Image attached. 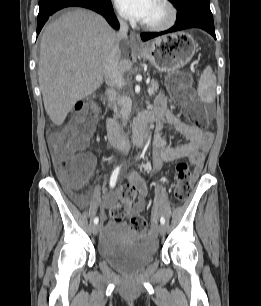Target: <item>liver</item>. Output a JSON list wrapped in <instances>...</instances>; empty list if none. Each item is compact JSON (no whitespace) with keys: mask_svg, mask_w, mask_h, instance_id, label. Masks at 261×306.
Masks as SVG:
<instances>
[{"mask_svg":"<svg viewBox=\"0 0 261 306\" xmlns=\"http://www.w3.org/2000/svg\"><path fill=\"white\" fill-rule=\"evenodd\" d=\"M119 42L101 15L85 9L71 10L47 25L38 77L45 110L55 125H62L75 103L103 84V63ZM119 66L126 73L132 62L122 58Z\"/></svg>","mask_w":261,"mask_h":306,"instance_id":"6515ba94","label":"liver"}]
</instances>
